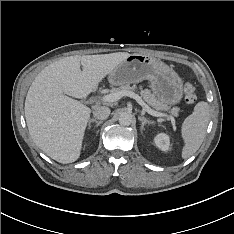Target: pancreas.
<instances>
[{
  "instance_id": "pancreas-1",
  "label": "pancreas",
  "mask_w": 234,
  "mask_h": 234,
  "mask_svg": "<svg viewBox=\"0 0 234 234\" xmlns=\"http://www.w3.org/2000/svg\"><path fill=\"white\" fill-rule=\"evenodd\" d=\"M136 85L130 86L129 84H125L122 85L118 88H112L111 92H122V91H135L136 90ZM140 95L141 97H143L144 101L147 102V104L149 106H151L152 108H154L155 110L159 111V110H169V108L165 105H163L162 103H160L157 98L154 96V94L151 93L150 90L148 89H142V86H140ZM170 112L174 115L177 116L179 109L173 108L170 110Z\"/></svg>"
}]
</instances>
